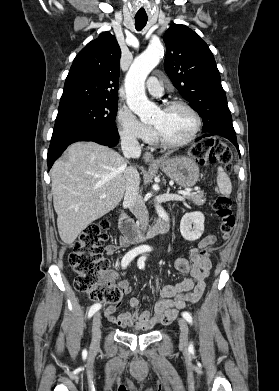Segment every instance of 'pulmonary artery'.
I'll return each instance as SVG.
<instances>
[{"instance_id":"e3ab8cb5","label":"pulmonary artery","mask_w":279,"mask_h":391,"mask_svg":"<svg viewBox=\"0 0 279 391\" xmlns=\"http://www.w3.org/2000/svg\"><path fill=\"white\" fill-rule=\"evenodd\" d=\"M147 90L154 96H161L163 93V87L157 77H150L147 81Z\"/></svg>"}]
</instances>
